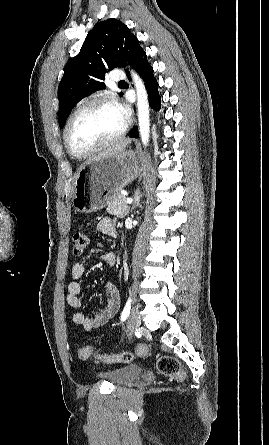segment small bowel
<instances>
[{
	"label": "small bowel",
	"mask_w": 269,
	"mask_h": 445,
	"mask_svg": "<svg viewBox=\"0 0 269 445\" xmlns=\"http://www.w3.org/2000/svg\"><path fill=\"white\" fill-rule=\"evenodd\" d=\"M98 230L111 237H117V223L110 218H102L97 224ZM101 259L108 265L115 264V255L113 253L104 254ZM86 264L83 260H78L72 265L71 276L72 280L67 286L66 301L68 305L74 309H80L82 300L80 294L82 291L80 279L84 276ZM106 301L104 306L98 310L94 315L87 316L82 311H76L73 316V322L80 325L86 331H91L101 327L107 323L116 313L119 303V292L117 287L108 282L105 285Z\"/></svg>",
	"instance_id": "1"
}]
</instances>
